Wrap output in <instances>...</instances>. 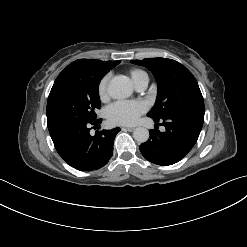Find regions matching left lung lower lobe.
Listing matches in <instances>:
<instances>
[{"label":"left lung lower lobe","mask_w":247,"mask_h":247,"mask_svg":"<svg viewBox=\"0 0 247 247\" xmlns=\"http://www.w3.org/2000/svg\"><path fill=\"white\" fill-rule=\"evenodd\" d=\"M164 132L150 131V139L140 145L145 159L157 165H172L184 158L195 145L203 126L204 115L190 112L170 114L154 120Z\"/></svg>","instance_id":"0a47b994"}]
</instances>
